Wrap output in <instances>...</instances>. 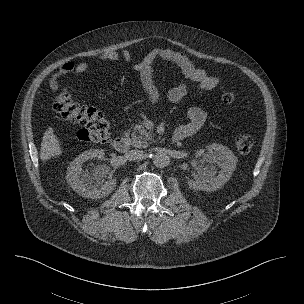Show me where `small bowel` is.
I'll use <instances>...</instances> for the list:
<instances>
[{
    "label": "small bowel",
    "instance_id": "small-bowel-1",
    "mask_svg": "<svg viewBox=\"0 0 304 304\" xmlns=\"http://www.w3.org/2000/svg\"><path fill=\"white\" fill-rule=\"evenodd\" d=\"M120 58L131 63L136 70L140 71L141 75H148L153 70L155 63L158 61L172 63L179 69L185 79L199 90H212L219 83V79L217 77L210 76L205 70L196 67L185 54L171 49H154L142 60H136L129 51H124L122 55L115 51L106 52L101 55V59L107 61H118ZM88 69V62H80L76 65L73 63L64 64L60 68L59 72L50 80L51 89L54 90L57 88V78L60 75L70 72L80 74L86 72ZM187 93V85L181 83L169 90L168 98L172 102H179L187 95ZM187 116L190 121L176 129L184 135V138L196 134L203 127L207 119V113L200 107H191L188 109Z\"/></svg>",
    "mask_w": 304,
    "mask_h": 304
}]
</instances>
